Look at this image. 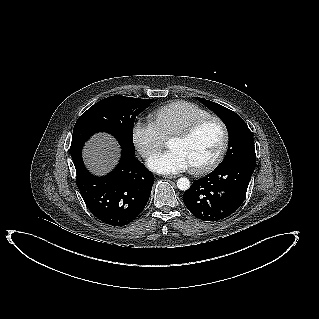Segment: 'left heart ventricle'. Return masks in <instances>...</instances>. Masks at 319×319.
Returning a JSON list of instances; mask_svg holds the SVG:
<instances>
[{"mask_svg": "<svg viewBox=\"0 0 319 319\" xmlns=\"http://www.w3.org/2000/svg\"><path fill=\"white\" fill-rule=\"evenodd\" d=\"M221 142L222 133L219 126L210 122L200 127L186 140H170L168 148L180 151L188 160L190 167H197L207 164L216 156Z\"/></svg>", "mask_w": 319, "mask_h": 319, "instance_id": "obj_1", "label": "left heart ventricle"}]
</instances>
